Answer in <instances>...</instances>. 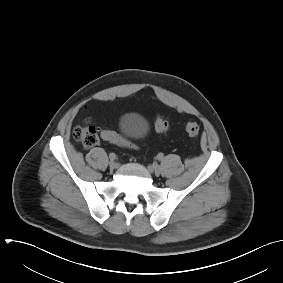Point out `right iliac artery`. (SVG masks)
I'll list each match as a JSON object with an SVG mask.
<instances>
[{
    "instance_id": "1",
    "label": "right iliac artery",
    "mask_w": 283,
    "mask_h": 283,
    "mask_svg": "<svg viewBox=\"0 0 283 283\" xmlns=\"http://www.w3.org/2000/svg\"><path fill=\"white\" fill-rule=\"evenodd\" d=\"M109 157L112 161L116 159V155L114 153H110Z\"/></svg>"
}]
</instances>
